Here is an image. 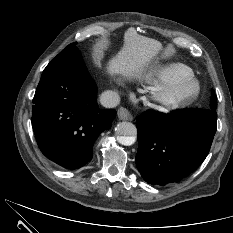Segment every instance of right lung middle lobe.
Instances as JSON below:
<instances>
[{"mask_svg":"<svg viewBox=\"0 0 233 233\" xmlns=\"http://www.w3.org/2000/svg\"><path fill=\"white\" fill-rule=\"evenodd\" d=\"M76 43H72L70 45H68L60 54H58L57 56H63V55H71V54H77L80 55L79 50L76 48Z\"/></svg>","mask_w":233,"mask_h":233,"instance_id":"right-lung-middle-lobe-1","label":"right lung middle lobe"}]
</instances>
